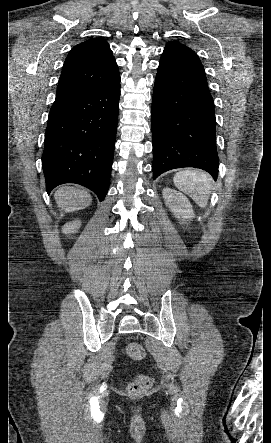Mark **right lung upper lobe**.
<instances>
[{
    "label": "right lung upper lobe",
    "instance_id": "1",
    "mask_svg": "<svg viewBox=\"0 0 271 443\" xmlns=\"http://www.w3.org/2000/svg\"><path fill=\"white\" fill-rule=\"evenodd\" d=\"M119 78L107 41L87 40L74 46L66 57L56 94L108 85Z\"/></svg>",
    "mask_w": 271,
    "mask_h": 443
}]
</instances>
